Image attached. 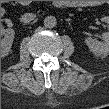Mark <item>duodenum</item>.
Masks as SVG:
<instances>
[{"label":"duodenum","mask_w":109,"mask_h":109,"mask_svg":"<svg viewBox=\"0 0 109 109\" xmlns=\"http://www.w3.org/2000/svg\"><path fill=\"white\" fill-rule=\"evenodd\" d=\"M56 6L69 7V6H73V4L71 2H69V1H57Z\"/></svg>","instance_id":"obj_1"}]
</instances>
